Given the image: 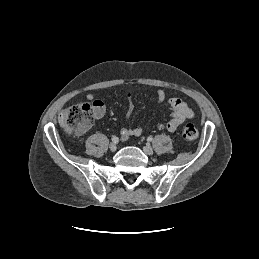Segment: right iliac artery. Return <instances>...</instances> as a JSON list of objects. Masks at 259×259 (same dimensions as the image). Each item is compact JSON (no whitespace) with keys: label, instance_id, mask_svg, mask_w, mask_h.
<instances>
[{"label":"right iliac artery","instance_id":"obj_1","mask_svg":"<svg viewBox=\"0 0 259 259\" xmlns=\"http://www.w3.org/2000/svg\"><path fill=\"white\" fill-rule=\"evenodd\" d=\"M118 141H119V138H118V137H116V136H113V137H112V142H113V143H118Z\"/></svg>","mask_w":259,"mask_h":259}]
</instances>
